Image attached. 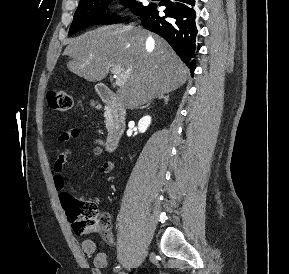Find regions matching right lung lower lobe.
<instances>
[{
  "label": "right lung lower lobe",
  "instance_id": "1",
  "mask_svg": "<svg viewBox=\"0 0 289 274\" xmlns=\"http://www.w3.org/2000/svg\"><path fill=\"white\" fill-rule=\"evenodd\" d=\"M159 6L166 7L165 16L160 17L157 4L150 3L139 15L142 25L163 37L193 74L197 35L195 0H161Z\"/></svg>",
  "mask_w": 289,
  "mask_h": 274
}]
</instances>
